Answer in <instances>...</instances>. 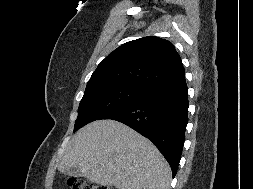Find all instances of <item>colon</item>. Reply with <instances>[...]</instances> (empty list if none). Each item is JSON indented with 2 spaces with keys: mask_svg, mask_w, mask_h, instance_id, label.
<instances>
[{
  "mask_svg": "<svg viewBox=\"0 0 253 189\" xmlns=\"http://www.w3.org/2000/svg\"><path fill=\"white\" fill-rule=\"evenodd\" d=\"M69 186L72 189H112L109 186L91 183L83 179H71Z\"/></svg>",
  "mask_w": 253,
  "mask_h": 189,
  "instance_id": "obj_1",
  "label": "colon"
}]
</instances>
